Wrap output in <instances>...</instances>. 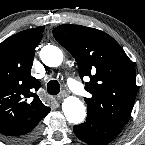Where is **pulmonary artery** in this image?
<instances>
[{
	"mask_svg": "<svg viewBox=\"0 0 145 145\" xmlns=\"http://www.w3.org/2000/svg\"><path fill=\"white\" fill-rule=\"evenodd\" d=\"M68 86L75 95L84 96L86 94L84 87L73 78H68Z\"/></svg>",
	"mask_w": 145,
	"mask_h": 145,
	"instance_id": "1",
	"label": "pulmonary artery"
}]
</instances>
